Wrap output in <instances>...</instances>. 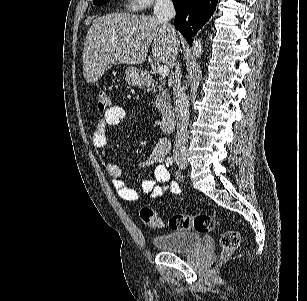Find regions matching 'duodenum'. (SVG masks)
<instances>
[{
    "label": "duodenum",
    "mask_w": 307,
    "mask_h": 301,
    "mask_svg": "<svg viewBox=\"0 0 307 301\" xmlns=\"http://www.w3.org/2000/svg\"><path fill=\"white\" fill-rule=\"evenodd\" d=\"M145 81L147 83H151L152 79L149 77L145 78ZM176 125V117L175 114L172 111H164L161 114L160 118V127L164 132H171L174 130Z\"/></svg>",
    "instance_id": "1"
}]
</instances>
